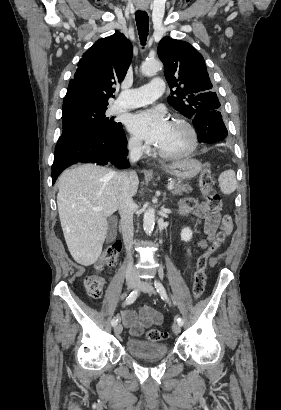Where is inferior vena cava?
Segmentation results:
<instances>
[{
    "label": "inferior vena cava",
    "instance_id": "1",
    "mask_svg": "<svg viewBox=\"0 0 281 410\" xmlns=\"http://www.w3.org/2000/svg\"><path fill=\"white\" fill-rule=\"evenodd\" d=\"M129 159L131 163L137 162L142 156L141 143L132 140L128 144ZM131 172H117L114 175L113 182L115 187L118 211L121 217V231L123 241L128 251L129 262L126 269V279L139 281L136 269L133 266L131 248L133 244V212L134 203L130 194V174Z\"/></svg>",
    "mask_w": 281,
    "mask_h": 410
}]
</instances>
